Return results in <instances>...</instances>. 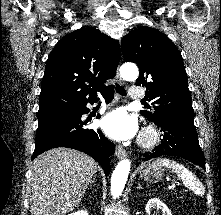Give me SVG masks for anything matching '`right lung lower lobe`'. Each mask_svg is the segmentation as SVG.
Returning a JSON list of instances; mask_svg holds the SVG:
<instances>
[{"mask_svg": "<svg viewBox=\"0 0 221 215\" xmlns=\"http://www.w3.org/2000/svg\"><path fill=\"white\" fill-rule=\"evenodd\" d=\"M113 95V89L104 93L107 103L112 100ZM94 102L96 100L90 103ZM86 104L70 113L39 120L32 160L55 147L73 148L94 158L108 176L111 169L109 156L114 154L115 146L100 130L84 128L86 122L81 121V117L89 112Z\"/></svg>", "mask_w": 221, "mask_h": 215, "instance_id": "obj_1", "label": "right lung lower lobe"}]
</instances>
